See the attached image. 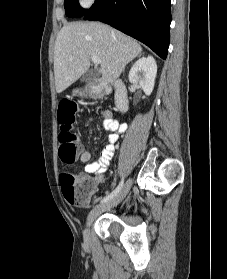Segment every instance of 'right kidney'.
Listing matches in <instances>:
<instances>
[{"instance_id":"1","label":"right kidney","mask_w":227,"mask_h":279,"mask_svg":"<svg viewBox=\"0 0 227 279\" xmlns=\"http://www.w3.org/2000/svg\"><path fill=\"white\" fill-rule=\"evenodd\" d=\"M157 74L156 61L152 56L142 57L137 60L129 72V81L139 84L146 95H150L154 88Z\"/></svg>"}]
</instances>
